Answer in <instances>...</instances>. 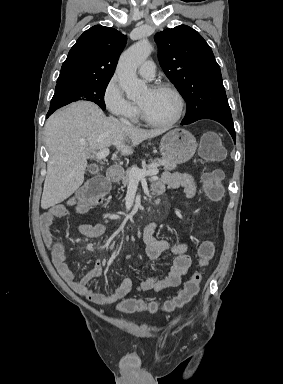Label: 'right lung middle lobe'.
<instances>
[{
  "label": "right lung middle lobe",
  "mask_w": 283,
  "mask_h": 384,
  "mask_svg": "<svg viewBox=\"0 0 283 384\" xmlns=\"http://www.w3.org/2000/svg\"><path fill=\"white\" fill-rule=\"evenodd\" d=\"M109 81L74 83L56 86L50 109L56 110L73 101L87 100L105 110L104 94Z\"/></svg>",
  "instance_id": "1"
}]
</instances>
